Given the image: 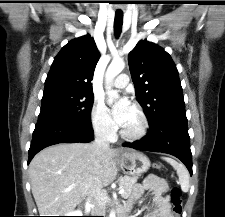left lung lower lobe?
Returning a JSON list of instances; mask_svg holds the SVG:
<instances>
[{"label":"left lung lower lobe","mask_w":225,"mask_h":217,"mask_svg":"<svg viewBox=\"0 0 225 217\" xmlns=\"http://www.w3.org/2000/svg\"><path fill=\"white\" fill-rule=\"evenodd\" d=\"M124 146L171 154L180 159L192 175V153L186 116L171 117L150 125L145 137Z\"/></svg>","instance_id":"left-lung-lower-lobe-1"}]
</instances>
